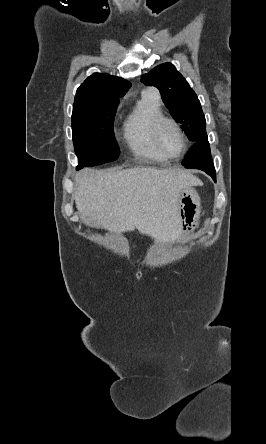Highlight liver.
Instances as JSON below:
<instances>
[{
  "instance_id": "obj_1",
  "label": "liver",
  "mask_w": 266,
  "mask_h": 444,
  "mask_svg": "<svg viewBox=\"0 0 266 444\" xmlns=\"http://www.w3.org/2000/svg\"><path fill=\"white\" fill-rule=\"evenodd\" d=\"M190 172L149 167L84 169L76 176L75 203L91 227L146 234L157 242L180 236L178 197L198 185Z\"/></svg>"
}]
</instances>
